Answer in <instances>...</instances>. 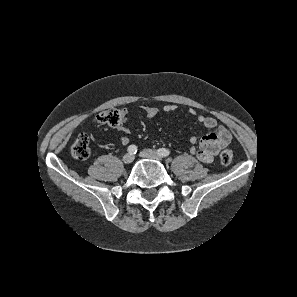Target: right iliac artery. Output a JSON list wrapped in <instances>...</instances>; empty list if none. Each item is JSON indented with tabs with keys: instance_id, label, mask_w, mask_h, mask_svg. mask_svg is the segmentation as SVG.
<instances>
[{
	"instance_id": "obj_1",
	"label": "right iliac artery",
	"mask_w": 297,
	"mask_h": 297,
	"mask_svg": "<svg viewBox=\"0 0 297 297\" xmlns=\"http://www.w3.org/2000/svg\"><path fill=\"white\" fill-rule=\"evenodd\" d=\"M137 146L136 145H130L127 149V151L129 152V154L133 155L137 153Z\"/></svg>"
}]
</instances>
